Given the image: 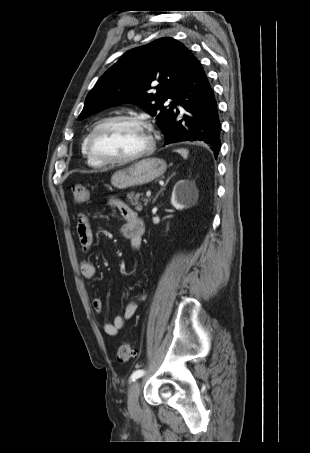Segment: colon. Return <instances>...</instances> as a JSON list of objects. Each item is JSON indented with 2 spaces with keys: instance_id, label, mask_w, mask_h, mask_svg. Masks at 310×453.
Masks as SVG:
<instances>
[{
  "instance_id": "1",
  "label": "colon",
  "mask_w": 310,
  "mask_h": 453,
  "mask_svg": "<svg viewBox=\"0 0 310 453\" xmlns=\"http://www.w3.org/2000/svg\"><path fill=\"white\" fill-rule=\"evenodd\" d=\"M73 199L77 205H84L88 201V190L84 185L76 184L72 187ZM134 356V349L131 344L124 343L119 346L116 352L118 362H128Z\"/></svg>"
}]
</instances>
